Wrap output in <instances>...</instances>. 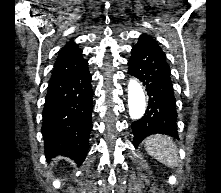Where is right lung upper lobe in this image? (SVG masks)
Here are the masks:
<instances>
[{
  "label": "right lung upper lobe",
  "instance_id": "1",
  "mask_svg": "<svg viewBox=\"0 0 221 193\" xmlns=\"http://www.w3.org/2000/svg\"><path fill=\"white\" fill-rule=\"evenodd\" d=\"M86 63L82 57V50L71 40L59 51L52 77L78 70Z\"/></svg>",
  "mask_w": 221,
  "mask_h": 193
}]
</instances>
